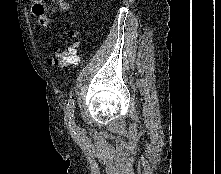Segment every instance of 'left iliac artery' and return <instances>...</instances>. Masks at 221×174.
Returning <instances> with one entry per match:
<instances>
[{"instance_id": "obj_1", "label": "left iliac artery", "mask_w": 221, "mask_h": 174, "mask_svg": "<svg viewBox=\"0 0 221 174\" xmlns=\"http://www.w3.org/2000/svg\"><path fill=\"white\" fill-rule=\"evenodd\" d=\"M74 111H75V100L73 96L70 95V98L66 106L65 117L67 120L73 123H74Z\"/></svg>"}]
</instances>
